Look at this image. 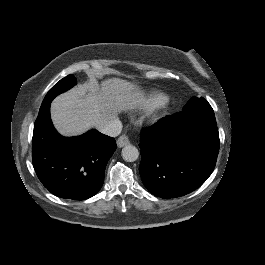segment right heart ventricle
<instances>
[{
	"label": "right heart ventricle",
	"instance_id": "right-heart-ventricle-1",
	"mask_svg": "<svg viewBox=\"0 0 265 265\" xmlns=\"http://www.w3.org/2000/svg\"><path fill=\"white\" fill-rule=\"evenodd\" d=\"M157 95H152L145 103L146 104H149V103H152V101L154 100V98L156 97ZM112 109L114 110V111H121V110H125L124 108H123V106H121L120 104H114L113 106H112Z\"/></svg>",
	"mask_w": 265,
	"mask_h": 265
}]
</instances>
